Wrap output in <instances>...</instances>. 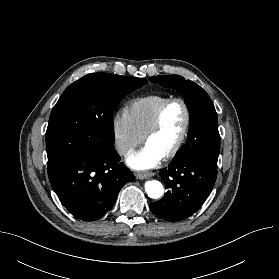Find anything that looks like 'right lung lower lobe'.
<instances>
[{
	"label": "right lung lower lobe",
	"instance_id": "right-lung-lower-lobe-1",
	"mask_svg": "<svg viewBox=\"0 0 279 279\" xmlns=\"http://www.w3.org/2000/svg\"><path fill=\"white\" fill-rule=\"evenodd\" d=\"M134 179L113 146L98 154L83 152L73 157L49 180L65 208L77 219L90 222L102 218L123 185Z\"/></svg>",
	"mask_w": 279,
	"mask_h": 279
}]
</instances>
